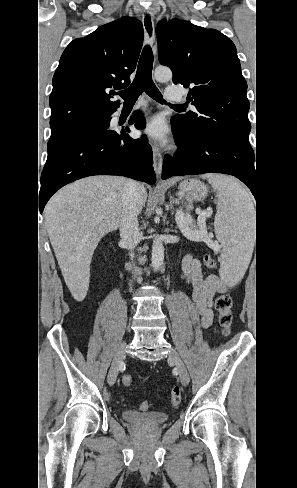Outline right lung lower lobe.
<instances>
[{"mask_svg":"<svg viewBox=\"0 0 297 488\" xmlns=\"http://www.w3.org/2000/svg\"><path fill=\"white\" fill-rule=\"evenodd\" d=\"M109 122L108 118V122L101 127L77 132L48 150L39 187L41 213L57 190L83 177L119 175L149 184L155 183L152 150L147 139L130 138L129 128L110 130ZM129 123H135L138 129L145 125L141 113L132 115Z\"/></svg>","mask_w":297,"mask_h":488,"instance_id":"1","label":"right lung lower lobe"}]
</instances>
